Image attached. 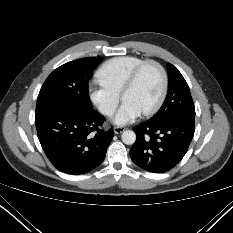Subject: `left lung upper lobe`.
<instances>
[{
    "mask_svg": "<svg viewBox=\"0 0 233 233\" xmlns=\"http://www.w3.org/2000/svg\"><path fill=\"white\" fill-rule=\"evenodd\" d=\"M169 91L160 110L150 121L162 122L174 117H195V107L187 82L172 64H167Z\"/></svg>",
    "mask_w": 233,
    "mask_h": 233,
    "instance_id": "5c2ea615",
    "label": "left lung upper lobe"
}]
</instances>
